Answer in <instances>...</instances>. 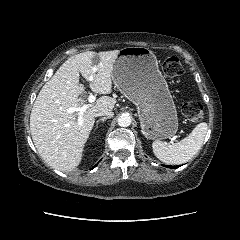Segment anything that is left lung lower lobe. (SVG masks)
I'll return each mask as SVG.
<instances>
[{
    "instance_id": "0a47b994",
    "label": "left lung lower lobe",
    "mask_w": 240,
    "mask_h": 240,
    "mask_svg": "<svg viewBox=\"0 0 240 240\" xmlns=\"http://www.w3.org/2000/svg\"><path fill=\"white\" fill-rule=\"evenodd\" d=\"M167 167H170V166H167ZM177 167H179V166H172L171 168H177Z\"/></svg>"
}]
</instances>
